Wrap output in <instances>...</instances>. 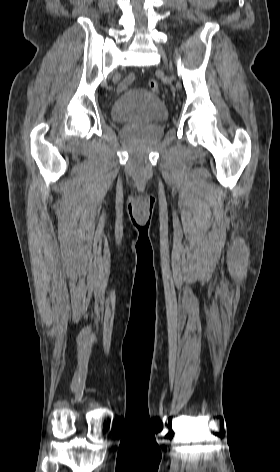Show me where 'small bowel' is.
<instances>
[{"label": "small bowel", "mask_w": 280, "mask_h": 472, "mask_svg": "<svg viewBox=\"0 0 280 472\" xmlns=\"http://www.w3.org/2000/svg\"><path fill=\"white\" fill-rule=\"evenodd\" d=\"M135 76L133 74L128 75L120 84V90H125L129 85L133 83Z\"/></svg>", "instance_id": "small-bowel-1"}]
</instances>
